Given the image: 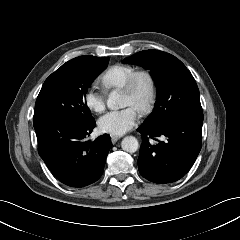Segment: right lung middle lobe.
Wrapping results in <instances>:
<instances>
[{
	"instance_id": "1",
	"label": "right lung middle lobe",
	"mask_w": 240,
	"mask_h": 240,
	"mask_svg": "<svg viewBox=\"0 0 240 240\" xmlns=\"http://www.w3.org/2000/svg\"><path fill=\"white\" fill-rule=\"evenodd\" d=\"M108 62L107 58H97L90 65L57 70L51 74L37 97L34 120L51 118L77 124L94 120L85 96L89 85Z\"/></svg>"
}]
</instances>
